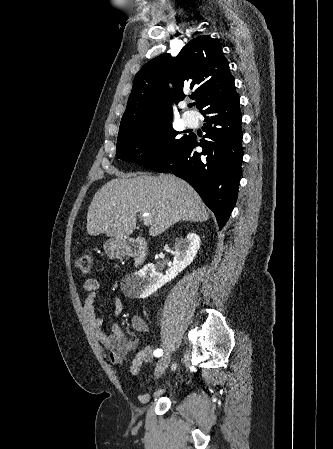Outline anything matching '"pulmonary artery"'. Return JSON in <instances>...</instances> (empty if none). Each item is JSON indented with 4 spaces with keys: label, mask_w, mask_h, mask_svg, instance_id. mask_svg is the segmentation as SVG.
<instances>
[{
    "label": "pulmonary artery",
    "mask_w": 333,
    "mask_h": 449,
    "mask_svg": "<svg viewBox=\"0 0 333 449\" xmlns=\"http://www.w3.org/2000/svg\"><path fill=\"white\" fill-rule=\"evenodd\" d=\"M183 121L188 127H193L197 124L198 120L192 114L185 112L183 114Z\"/></svg>",
    "instance_id": "obj_1"
}]
</instances>
